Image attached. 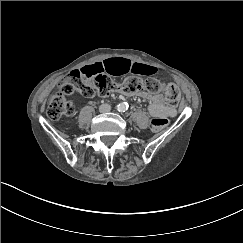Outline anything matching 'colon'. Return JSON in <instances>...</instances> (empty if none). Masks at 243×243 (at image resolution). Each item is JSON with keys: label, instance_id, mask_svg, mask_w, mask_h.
<instances>
[{"label": "colon", "instance_id": "obj_1", "mask_svg": "<svg viewBox=\"0 0 243 243\" xmlns=\"http://www.w3.org/2000/svg\"><path fill=\"white\" fill-rule=\"evenodd\" d=\"M115 91L128 95L162 93L165 100L173 105L178 104L180 100V91L176 85L163 84L155 78L142 79L133 76L117 82L102 72L85 74L80 70H74L61 82L59 91L51 96L47 116L51 120H58L63 116L72 115L75 111V105L70 97L76 93L91 97L95 94L107 96ZM167 125L166 118H154L150 122V127L154 131L162 130Z\"/></svg>", "mask_w": 243, "mask_h": 243}]
</instances>
